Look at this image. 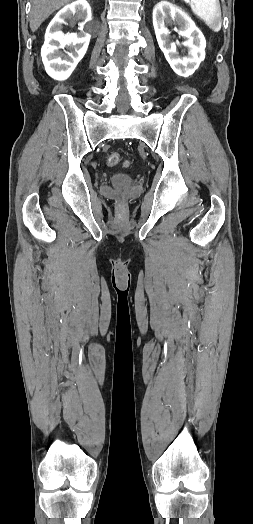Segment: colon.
<instances>
[{"label":"colon","instance_id":"5ec220e1","mask_svg":"<svg viewBox=\"0 0 253 524\" xmlns=\"http://www.w3.org/2000/svg\"><path fill=\"white\" fill-rule=\"evenodd\" d=\"M106 162H107V165L110 166V167L118 166V165H120L122 163L121 155L118 152H116V151L110 152L107 155ZM124 165L128 166V163L125 162ZM124 203H125V201L122 199L120 201V205H124Z\"/></svg>","mask_w":253,"mask_h":524}]
</instances>
